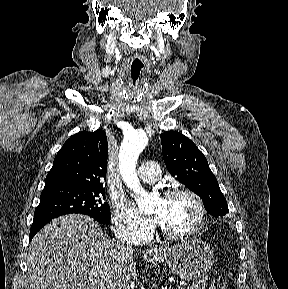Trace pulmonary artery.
<instances>
[{
	"label": "pulmonary artery",
	"mask_w": 288,
	"mask_h": 289,
	"mask_svg": "<svg viewBox=\"0 0 288 289\" xmlns=\"http://www.w3.org/2000/svg\"><path fill=\"white\" fill-rule=\"evenodd\" d=\"M138 176L143 182L154 183L160 178L161 169L156 162L148 161L139 167Z\"/></svg>",
	"instance_id": "pulmonary-artery-1"
}]
</instances>
